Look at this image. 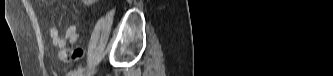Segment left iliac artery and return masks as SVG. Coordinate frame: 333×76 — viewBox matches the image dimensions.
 Here are the masks:
<instances>
[{
  "instance_id": "obj_1",
  "label": "left iliac artery",
  "mask_w": 333,
  "mask_h": 76,
  "mask_svg": "<svg viewBox=\"0 0 333 76\" xmlns=\"http://www.w3.org/2000/svg\"><path fill=\"white\" fill-rule=\"evenodd\" d=\"M83 70H84L83 68H80L76 71L71 72L70 74H71V76H80L82 74Z\"/></svg>"
}]
</instances>
